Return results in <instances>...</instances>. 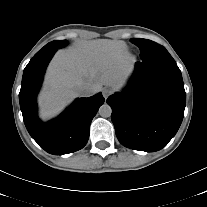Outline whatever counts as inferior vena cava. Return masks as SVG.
Instances as JSON below:
<instances>
[{
	"label": "inferior vena cava",
	"mask_w": 207,
	"mask_h": 207,
	"mask_svg": "<svg viewBox=\"0 0 207 207\" xmlns=\"http://www.w3.org/2000/svg\"><path fill=\"white\" fill-rule=\"evenodd\" d=\"M76 92L79 96L89 97L95 93V90L93 87L89 85L82 84V85L77 86Z\"/></svg>",
	"instance_id": "602c4592"
}]
</instances>
